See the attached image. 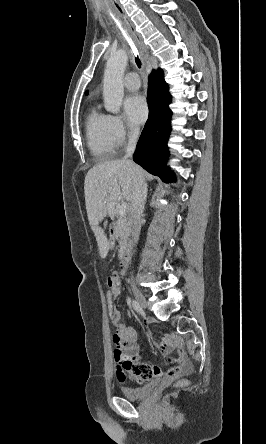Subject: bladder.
<instances>
[{
  "instance_id": "1",
  "label": "bladder",
  "mask_w": 266,
  "mask_h": 444,
  "mask_svg": "<svg viewBox=\"0 0 266 444\" xmlns=\"http://www.w3.org/2000/svg\"><path fill=\"white\" fill-rule=\"evenodd\" d=\"M159 384V381L157 379L150 381L148 384H146L143 387L140 388H122V394L130 400H142L147 395L153 392L155 387Z\"/></svg>"
}]
</instances>
